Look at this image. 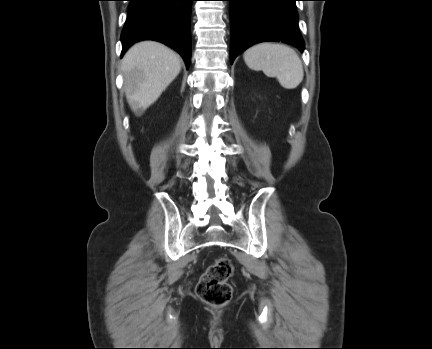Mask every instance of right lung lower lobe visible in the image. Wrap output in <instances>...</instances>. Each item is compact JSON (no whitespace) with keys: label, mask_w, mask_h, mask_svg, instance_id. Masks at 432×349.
I'll use <instances>...</instances> for the list:
<instances>
[{"label":"right lung lower lobe","mask_w":432,"mask_h":349,"mask_svg":"<svg viewBox=\"0 0 432 349\" xmlns=\"http://www.w3.org/2000/svg\"><path fill=\"white\" fill-rule=\"evenodd\" d=\"M121 34L122 53L134 43L155 40L175 49L187 68L191 59L190 16L193 0H129Z\"/></svg>","instance_id":"obj_1"}]
</instances>
